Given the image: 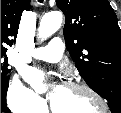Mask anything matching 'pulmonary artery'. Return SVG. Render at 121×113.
I'll list each match as a JSON object with an SVG mask.
<instances>
[{
    "mask_svg": "<svg viewBox=\"0 0 121 113\" xmlns=\"http://www.w3.org/2000/svg\"><path fill=\"white\" fill-rule=\"evenodd\" d=\"M63 53V41L58 37L53 38L48 45L30 51L33 58L49 63H58L62 59Z\"/></svg>",
    "mask_w": 121,
    "mask_h": 113,
    "instance_id": "e3ab8cb5",
    "label": "pulmonary artery"
}]
</instances>
